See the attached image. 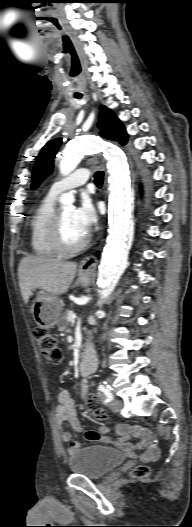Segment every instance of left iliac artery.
I'll use <instances>...</instances> for the list:
<instances>
[{"instance_id": "44dca946", "label": "left iliac artery", "mask_w": 192, "mask_h": 527, "mask_svg": "<svg viewBox=\"0 0 192 527\" xmlns=\"http://www.w3.org/2000/svg\"><path fill=\"white\" fill-rule=\"evenodd\" d=\"M98 390L105 395V403H109L111 400H113L111 387L106 382L100 383L98 386Z\"/></svg>"}]
</instances>
